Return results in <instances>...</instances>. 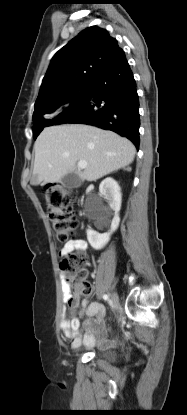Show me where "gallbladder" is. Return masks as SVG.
<instances>
[{"instance_id": "obj_1", "label": "gallbladder", "mask_w": 187, "mask_h": 415, "mask_svg": "<svg viewBox=\"0 0 187 415\" xmlns=\"http://www.w3.org/2000/svg\"><path fill=\"white\" fill-rule=\"evenodd\" d=\"M61 183L69 189L78 188L82 185V180L75 173H68L61 179Z\"/></svg>"}]
</instances>
